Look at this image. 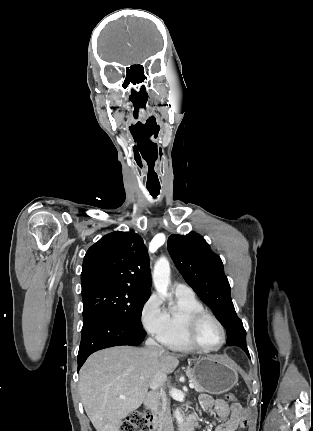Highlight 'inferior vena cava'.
<instances>
[{
    "mask_svg": "<svg viewBox=\"0 0 313 431\" xmlns=\"http://www.w3.org/2000/svg\"><path fill=\"white\" fill-rule=\"evenodd\" d=\"M146 346L148 348L152 347V348H158L160 350H163V348L160 345H158L155 342V340L152 338H148L146 340ZM166 379H167L166 374H164L162 371L158 370L155 373L149 385L152 390V393L148 396V401L151 403L152 407L161 409V412L163 413V431H174L172 420L169 416L166 403L164 400H162V403L160 402V395L158 393L159 388H161V386L166 381Z\"/></svg>",
    "mask_w": 313,
    "mask_h": 431,
    "instance_id": "inferior-vena-cava-1",
    "label": "inferior vena cava"
}]
</instances>
